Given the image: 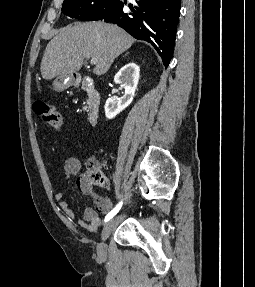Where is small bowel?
Segmentation results:
<instances>
[{
    "mask_svg": "<svg viewBox=\"0 0 255 287\" xmlns=\"http://www.w3.org/2000/svg\"><path fill=\"white\" fill-rule=\"evenodd\" d=\"M63 174L66 179L76 177V184L79 190L90 196L94 202V208H87L81 219L76 216L69 203L65 200V194L58 192L55 200L68 223L77 224L90 232H96L102 224L99 214H105L110 209L109 202L105 197L96 192L88 183L86 176L82 173L81 162L75 157H69L63 165Z\"/></svg>",
    "mask_w": 255,
    "mask_h": 287,
    "instance_id": "obj_1",
    "label": "small bowel"
}]
</instances>
